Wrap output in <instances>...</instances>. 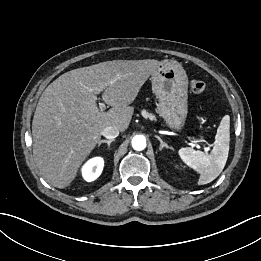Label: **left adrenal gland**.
I'll use <instances>...</instances> for the list:
<instances>
[{
	"label": "left adrenal gland",
	"mask_w": 261,
	"mask_h": 261,
	"mask_svg": "<svg viewBox=\"0 0 261 261\" xmlns=\"http://www.w3.org/2000/svg\"><path fill=\"white\" fill-rule=\"evenodd\" d=\"M155 137L160 141V147H159L160 150H162L163 148L173 150V148L168 146L159 136L156 135Z\"/></svg>",
	"instance_id": "1"
}]
</instances>
